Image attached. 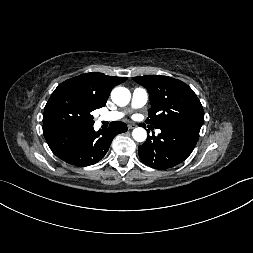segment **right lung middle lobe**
I'll return each instance as SVG.
<instances>
[{"mask_svg": "<svg viewBox=\"0 0 253 253\" xmlns=\"http://www.w3.org/2000/svg\"><path fill=\"white\" fill-rule=\"evenodd\" d=\"M102 107L76 84L65 81L49 98L43 114V131L94 124L92 111Z\"/></svg>", "mask_w": 253, "mask_h": 253, "instance_id": "right-lung-middle-lobe-1", "label": "right lung middle lobe"}]
</instances>
